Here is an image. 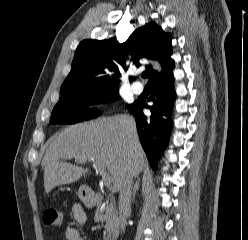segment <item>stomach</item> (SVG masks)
I'll return each instance as SVG.
<instances>
[{
  "label": "stomach",
  "mask_w": 248,
  "mask_h": 240,
  "mask_svg": "<svg viewBox=\"0 0 248 240\" xmlns=\"http://www.w3.org/2000/svg\"><path fill=\"white\" fill-rule=\"evenodd\" d=\"M78 196L83 202H89L91 200V196L86 187L79 188Z\"/></svg>",
  "instance_id": "1"
}]
</instances>
